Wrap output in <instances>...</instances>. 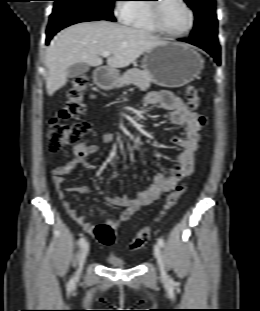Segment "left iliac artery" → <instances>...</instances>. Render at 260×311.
Returning a JSON list of instances; mask_svg holds the SVG:
<instances>
[{"mask_svg": "<svg viewBox=\"0 0 260 311\" xmlns=\"http://www.w3.org/2000/svg\"><path fill=\"white\" fill-rule=\"evenodd\" d=\"M158 244L161 246V247H164V240H163V238H158ZM170 281L172 282L173 280L172 279H170Z\"/></svg>", "mask_w": 260, "mask_h": 311, "instance_id": "left-iliac-artery-1", "label": "left iliac artery"}]
</instances>
